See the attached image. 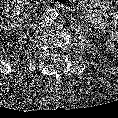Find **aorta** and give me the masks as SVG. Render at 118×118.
<instances>
[{"mask_svg": "<svg viewBox=\"0 0 118 118\" xmlns=\"http://www.w3.org/2000/svg\"><path fill=\"white\" fill-rule=\"evenodd\" d=\"M44 17L48 21H53L58 17V11L56 9L51 8L45 12Z\"/></svg>", "mask_w": 118, "mask_h": 118, "instance_id": "obj_1", "label": "aorta"}]
</instances>
